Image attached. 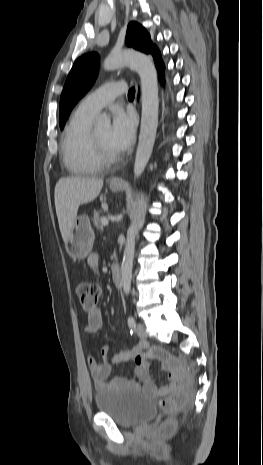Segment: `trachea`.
<instances>
[{
  "label": "trachea",
  "instance_id": "trachea-1",
  "mask_svg": "<svg viewBox=\"0 0 263 465\" xmlns=\"http://www.w3.org/2000/svg\"><path fill=\"white\" fill-rule=\"evenodd\" d=\"M128 97H129V98H134V97H135V88H131V89L128 91Z\"/></svg>",
  "mask_w": 263,
  "mask_h": 465
}]
</instances>
